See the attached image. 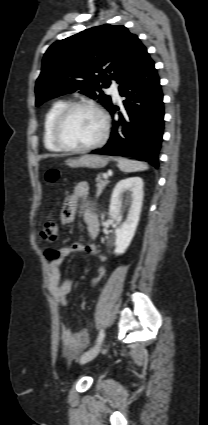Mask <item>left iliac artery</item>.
Masks as SVG:
<instances>
[{
  "label": "left iliac artery",
  "mask_w": 208,
  "mask_h": 425,
  "mask_svg": "<svg viewBox=\"0 0 208 425\" xmlns=\"http://www.w3.org/2000/svg\"><path fill=\"white\" fill-rule=\"evenodd\" d=\"M103 338H104V331L101 329L96 340V346L103 341Z\"/></svg>",
  "instance_id": "left-iliac-artery-1"
}]
</instances>
